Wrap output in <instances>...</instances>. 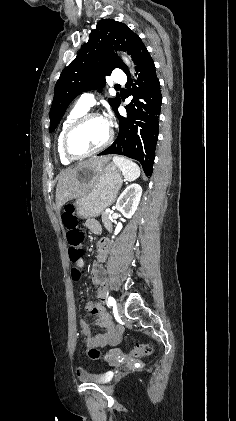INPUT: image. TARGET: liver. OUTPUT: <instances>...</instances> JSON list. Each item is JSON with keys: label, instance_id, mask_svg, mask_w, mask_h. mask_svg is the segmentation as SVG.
Here are the masks:
<instances>
[{"label": "liver", "instance_id": "liver-1", "mask_svg": "<svg viewBox=\"0 0 236 421\" xmlns=\"http://www.w3.org/2000/svg\"><path fill=\"white\" fill-rule=\"evenodd\" d=\"M110 158L111 154H107V156H93L89 160L79 162L75 168H66L64 172H61L56 186V208L58 213L67 200L79 196L81 184L78 178V170H80L81 166H103V164L109 162Z\"/></svg>", "mask_w": 236, "mask_h": 421}]
</instances>
